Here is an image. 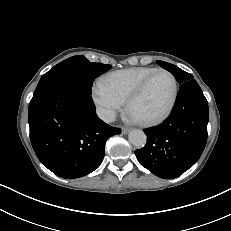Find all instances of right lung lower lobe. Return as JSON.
Wrapping results in <instances>:
<instances>
[{
	"mask_svg": "<svg viewBox=\"0 0 231 231\" xmlns=\"http://www.w3.org/2000/svg\"><path fill=\"white\" fill-rule=\"evenodd\" d=\"M28 122L38 159L67 179L97 169L107 139L121 133L98 118L90 92L69 84L57 85L31 100Z\"/></svg>",
	"mask_w": 231,
	"mask_h": 231,
	"instance_id": "right-lung-lower-lobe-1",
	"label": "right lung lower lobe"
}]
</instances>
